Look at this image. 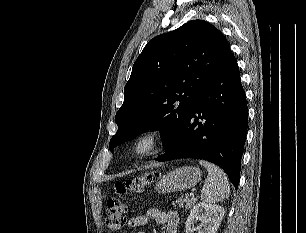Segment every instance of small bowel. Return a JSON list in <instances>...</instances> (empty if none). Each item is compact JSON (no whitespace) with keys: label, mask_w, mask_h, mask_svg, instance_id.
Here are the masks:
<instances>
[{"label":"small bowel","mask_w":306,"mask_h":233,"mask_svg":"<svg viewBox=\"0 0 306 233\" xmlns=\"http://www.w3.org/2000/svg\"><path fill=\"white\" fill-rule=\"evenodd\" d=\"M150 220H154L159 224L165 225L167 233H177L179 225L178 214L175 212H162L154 208L149 209L146 214L132 217L128 221V226L139 229L138 233H143L142 229L149 223Z\"/></svg>","instance_id":"c3829d8e"}]
</instances>
